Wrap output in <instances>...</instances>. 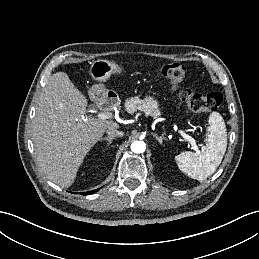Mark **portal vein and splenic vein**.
Returning a JSON list of instances; mask_svg holds the SVG:
<instances>
[{
	"label": "portal vein and splenic vein",
	"mask_w": 259,
	"mask_h": 259,
	"mask_svg": "<svg viewBox=\"0 0 259 259\" xmlns=\"http://www.w3.org/2000/svg\"><path fill=\"white\" fill-rule=\"evenodd\" d=\"M98 118L102 119V120L111 119L112 118V113H110V112H101V113L98 114ZM180 134H181V136H183V138L185 140L190 142V144L193 147H196V141L191 136H189L188 134L184 133L183 131H180Z\"/></svg>",
	"instance_id": "1"
}]
</instances>
